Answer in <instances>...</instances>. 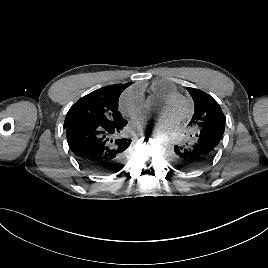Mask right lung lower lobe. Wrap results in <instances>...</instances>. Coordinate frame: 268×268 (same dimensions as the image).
<instances>
[{"mask_svg":"<svg viewBox=\"0 0 268 268\" xmlns=\"http://www.w3.org/2000/svg\"><path fill=\"white\" fill-rule=\"evenodd\" d=\"M127 121L113 125L76 122L65 127L70 150L76 160L96 174L116 172L123 165L131 140L122 136Z\"/></svg>","mask_w":268,"mask_h":268,"instance_id":"98d812e1","label":"right lung lower lobe"}]
</instances>
